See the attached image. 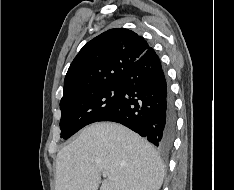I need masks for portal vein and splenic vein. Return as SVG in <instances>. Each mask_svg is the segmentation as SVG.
I'll return each instance as SVG.
<instances>
[{
  "instance_id": "1",
  "label": "portal vein and splenic vein",
  "mask_w": 234,
  "mask_h": 190,
  "mask_svg": "<svg viewBox=\"0 0 234 190\" xmlns=\"http://www.w3.org/2000/svg\"><path fill=\"white\" fill-rule=\"evenodd\" d=\"M103 177L111 178V176L109 175V173L107 171L103 172Z\"/></svg>"
}]
</instances>
